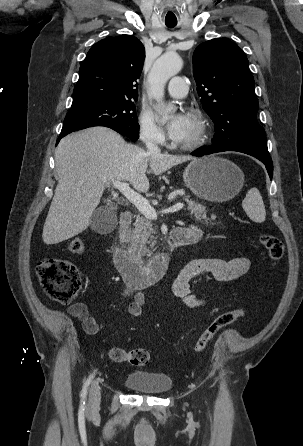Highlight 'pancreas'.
<instances>
[{
  "mask_svg": "<svg viewBox=\"0 0 303 446\" xmlns=\"http://www.w3.org/2000/svg\"><path fill=\"white\" fill-rule=\"evenodd\" d=\"M183 200L187 202V210L190 211L191 215H194L196 220L205 224H209V222L212 224L211 220H214L216 216L212 214L209 219L206 208L202 204L190 200L189 196L184 197ZM156 233L151 221L143 216H136L134 227L125 232V242L132 254L138 257H150L156 244Z\"/></svg>",
  "mask_w": 303,
  "mask_h": 446,
  "instance_id": "cf45deb5",
  "label": "pancreas"
}]
</instances>
